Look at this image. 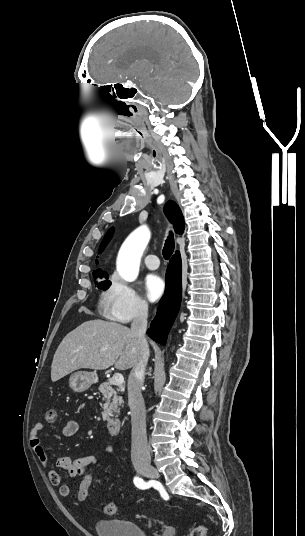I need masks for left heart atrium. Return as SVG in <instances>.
<instances>
[{"label": "left heart atrium", "mask_w": 305, "mask_h": 536, "mask_svg": "<svg viewBox=\"0 0 305 536\" xmlns=\"http://www.w3.org/2000/svg\"><path fill=\"white\" fill-rule=\"evenodd\" d=\"M144 289L150 301H157L164 293V281L156 274H149L145 278Z\"/></svg>", "instance_id": "left-heart-atrium-1"}]
</instances>
